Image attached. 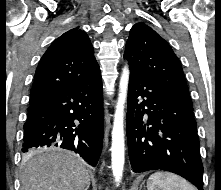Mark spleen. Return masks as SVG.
Instances as JSON below:
<instances>
[{"label":"spleen","mask_w":221,"mask_h":190,"mask_svg":"<svg viewBox=\"0 0 221 190\" xmlns=\"http://www.w3.org/2000/svg\"><path fill=\"white\" fill-rule=\"evenodd\" d=\"M148 190H197L193 185L181 177L168 173H153L147 180Z\"/></svg>","instance_id":"spleen-1"}]
</instances>
